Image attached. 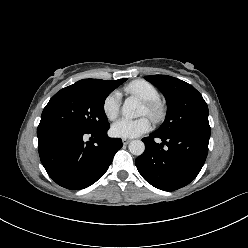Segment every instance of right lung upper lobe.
<instances>
[{"label":"right lung upper lobe","instance_id":"obj_1","mask_svg":"<svg viewBox=\"0 0 248 248\" xmlns=\"http://www.w3.org/2000/svg\"><path fill=\"white\" fill-rule=\"evenodd\" d=\"M119 80H121V79H119ZM119 80L109 81V80H101V79H83V80L78 81L77 83L86 84V85H90V86H100V85H105L108 83H115Z\"/></svg>","mask_w":248,"mask_h":248}]
</instances>
